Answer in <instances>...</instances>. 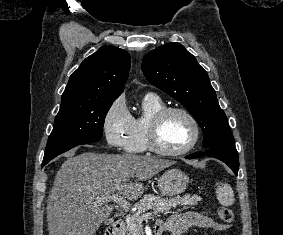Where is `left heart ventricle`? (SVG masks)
<instances>
[{
	"label": "left heart ventricle",
	"instance_id": "left-heart-ventricle-1",
	"mask_svg": "<svg viewBox=\"0 0 283 235\" xmlns=\"http://www.w3.org/2000/svg\"><path fill=\"white\" fill-rule=\"evenodd\" d=\"M192 126L180 113L169 114L161 123L157 141L161 148L175 151L185 147L192 138Z\"/></svg>",
	"mask_w": 283,
	"mask_h": 235
}]
</instances>
